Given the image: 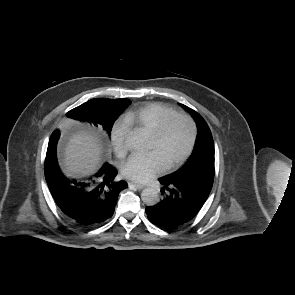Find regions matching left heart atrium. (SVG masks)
<instances>
[{
    "mask_svg": "<svg viewBox=\"0 0 295 295\" xmlns=\"http://www.w3.org/2000/svg\"><path fill=\"white\" fill-rule=\"evenodd\" d=\"M165 168L159 155L151 151L146 154H134L123 165L124 175L136 182L145 183L161 173Z\"/></svg>",
    "mask_w": 295,
    "mask_h": 295,
    "instance_id": "obj_1",
    "label": "left heart atrium"
}]
</instances>
